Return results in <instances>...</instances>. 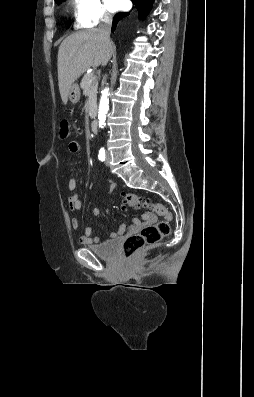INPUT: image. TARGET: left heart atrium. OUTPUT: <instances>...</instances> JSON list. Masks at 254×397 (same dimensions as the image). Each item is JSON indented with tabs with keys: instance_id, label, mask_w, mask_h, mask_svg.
I'll return each instance as SVG.
<instances>
[{
	"instance_id": "left-heart-atrium-1",
	"label": "left heart atrium",
	"mask_w": 254,
	"mask_h": 397,
	"mask_svg": "<svg viewBox=\"0 0 254 397\" xmlns=\"http://www.w3.org/2000/svg\"><path fill=\"white\" fill-rule=\"evenodd\" d=\"M107 7L111 11H117L124 5V0H105Z\"/></svg>"
}]
</instances>
